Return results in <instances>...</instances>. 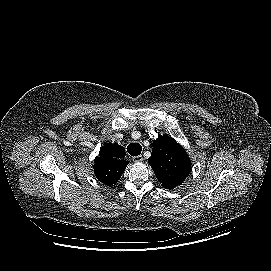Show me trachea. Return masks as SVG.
<instances>
[{"label":"trachea","mask_w":271,"mask_h":271,"mask_svg":"<svg viewBox=\"0 0 271 271\" xmlns=\"http://www.w3.org/2000/svg\"><path fill=\"white\" fill-rule=\"evenodd\" d=\"M127 151L131 156H138L141 154L142 147L138 143H131L127 146Z\"/></svg>","instance_id":"3493384b"}]
</instances>
